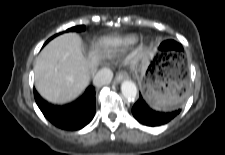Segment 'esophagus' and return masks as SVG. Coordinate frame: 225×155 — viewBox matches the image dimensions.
<instances>
[{
    "label": "esophagus",
    "instance_id": "obj_1",
    "mask_svg": "<svg viewBox=\"0 0 225 155\" xmlns=\"http://www.w3.org/2000/svg\"><path fill=\"white\" fill-rule=\"evenodd\" d=\"M126 74L124 72H119L116 74L115 79H114V83H119L122 80H124L126 78Z\"/></svg>",
    "mask_w": 225,
    "mask_h": 155
}]
</instances>
